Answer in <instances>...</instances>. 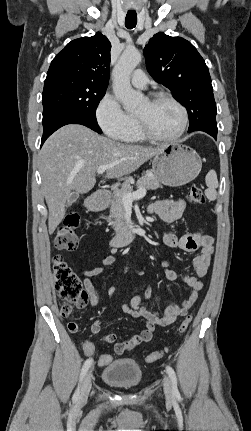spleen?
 <instances>
[{"instance_id":"1","label":"spleen","mask_w":251,"mask_h":431,"mask_svg":"<svg viewBox=\"0 0 251 431\" xmlns=\"http://www.w3.org/2000/svg\"><path fill=\"white\" fill-rule=\"evenodd\" d=\"M205 182L206 185L208 187V189L205 191V195L207 196V198L211 201L215 200L217 197V192H216V188L218 187V179H217V174L214 170H210L206 177H205Z\"/></svg>"}]
</instances>
